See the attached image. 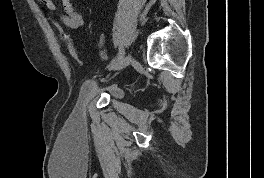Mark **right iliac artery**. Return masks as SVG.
<instances>
[{"mask_svg": "<svg viewBox=\"0 0 264 178\" xmlns=\"http://www.w3.org/2000/svg\"><path fill=\"white\" fill-rule=\"evenodd\" d=\"M124 56V50L123 48H119V53L116 59L112 60L111 63L108 65V67L113 66L117 61H119Z\"/></svg>", "mask_w": 264, "mask_h": 178, "instance_id": "right-iliac-artery-1", "label": "right iliac artery"}]
</instances>
